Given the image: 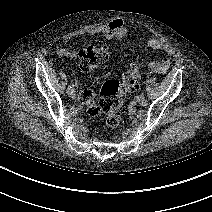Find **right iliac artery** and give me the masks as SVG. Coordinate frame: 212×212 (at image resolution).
Here are the masks:
<instances>
[{"instance_id": "82829eb1", "label": "right iliac artery", "mask_w": 212, "mask_h": 212, "mask_svg": "<svg viewBox=\"0 0 212 212\" xmlns=\"http://www.w3.org/2000/svg\"><path fill=\"white\" fill-rule=\"evenodd\" d=\"M73 91L72 86H68L67 93L70 94Z\"/></svg>"}]
</instances>
